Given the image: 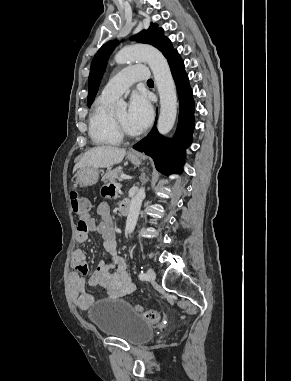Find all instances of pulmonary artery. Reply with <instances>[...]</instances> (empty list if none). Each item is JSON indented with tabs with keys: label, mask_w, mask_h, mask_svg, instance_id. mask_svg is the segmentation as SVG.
<instances>
[{
	"label": "pulmonary artery",
	"mask_w": 291,
	"mask_h": 381,
	"mask_svg": "<svg viewBox=\"0 0 291 381\" xmlns=\"http://www.w3.org/2000/svg\"><path fill=\"white\" fill-rule=\"evenodd\" d=\"M148 67L145 65H132L114 75L103 88L101 96L109 99L119 98L134 82L147 80Z\"/></svg>",
	"instance_id": "pulmonary-artery-1"
}]
</instances>
